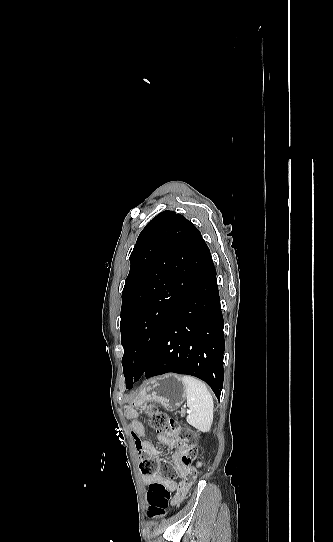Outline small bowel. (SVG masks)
<instances>
[{
	"instance_id": "c3829d8e",
	"label": "small bowel",
	"mask_w": 333,
	"mask_h": 542,
	"mask_svg": "<svg viewBox=\"0 0 333 542\" xmlns=\"http://www.w3.org/2000/svg\"><path fill=\"white\" fill-rule=\"evenodd\" d=\"M131 430L137 449L141 453H143L141 456L143 462L148 463L151 461L152 457H158L161 455V451L155 446H153L152 443L146 438L144 425L139 419H133L131 423ZM157 439L161 444L169 446L174 450V453L172 455V463L177 474L181 478H192V480H194L196 478V470L193 468H189L183 463L182 459L186 455V453L179 447V444L171 438L160 434L157 435ZM143 481L147 485L159 483L166 486L171 491L177 490V484L174 480L164 478L160 475L145 476L143 478ZM184 495L185 494H183L181 490L178 491L173 499V503L176 504L180 502Z\"/></svg>"
}]
</instances>
